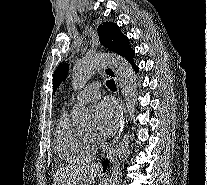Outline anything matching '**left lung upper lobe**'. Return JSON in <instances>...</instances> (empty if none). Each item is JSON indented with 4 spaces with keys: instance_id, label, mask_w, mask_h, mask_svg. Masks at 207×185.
Wrapping results in <instances>:
<instances>
[{
    "instance_id": "obj_1",
    "label": "left lung upper lobe",
    "mask_w": 207,
    "mask_h": 185,
    "mask_svg": "<svg viewBox=\"0 0 207 185\" xmlns=\"http://www.w3.org/2000/svg\"><path fill=\"white\" fill-rule=\"evenodd\" d=\"M98 35L103 46L112 52L126 58L132 66H135L133 57L135 51L129 46L128 38L124 36L115 23L105 22L98 27ZM68 64H63L56 69L53 75V90H57L60 83L67 77Z\"/></svg>"
}]
</instances>
